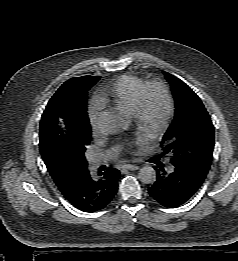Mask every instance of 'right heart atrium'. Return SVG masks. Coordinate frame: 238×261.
<instances>
[{
	"label": "right heart atrium",
	"mask_w": 238,
	"mask_h": 261,
	"mask_svg": "<svg viewBox=\"0 0 238 261\" xmlns=\"http://www.w3.org/2000/svg\"><path fill=\"white\" fill-rule=\"evenodd\" d=\"M99 108L97 105H93L90 110H89V122L93 130H96L97 125H98V120H99Z\"/></svg>",
	"instance_id": "obj_1"
}]
</instances>
